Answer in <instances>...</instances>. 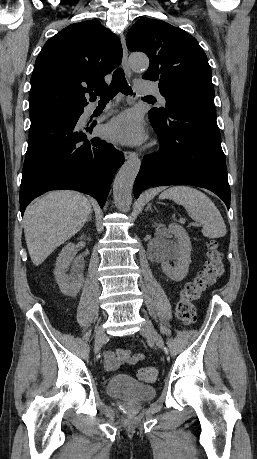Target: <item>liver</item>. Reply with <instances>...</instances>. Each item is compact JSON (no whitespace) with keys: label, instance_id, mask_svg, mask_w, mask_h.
<instances>
[{"label":"liver","instance_id":"obj_1","mask_svg":"<svg viewBox=\"0 0 257 459\" xmlns=\"http://www.w3.org/2000/svg\"><path fill=\"white\" fill-rule=\"evenodd\" d=\"M92 213L91 204L74 191H55L38 199L24 215L30 258L39 266L61 244L81 230Z\"/></svg>","mask_w":257,"mask_h":459}]
</instances>
